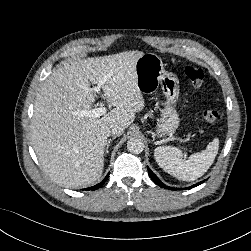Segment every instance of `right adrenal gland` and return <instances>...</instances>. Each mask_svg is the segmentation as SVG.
<instances>
[{"label": "right adrenal gland", "instance_id": "1", "mask_svg": "<svg viewBox=\"0 0 251 251\" xmlns=\"http://www.w3.org/2000/svg\"><path fill=\"white\" fill-rule=\"evenodd\" d=\"M115 137L113 138H110L107 142V145H106V149H105V154H107L109 152V146H110V143L112 142V140L114 139Z\"/></svg>", "mask_w": 251, "mask_h": 251}]
</instances>
